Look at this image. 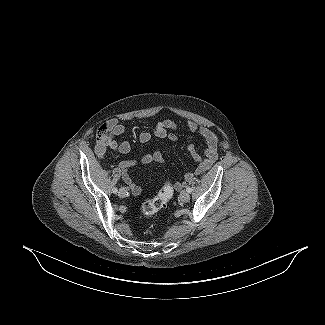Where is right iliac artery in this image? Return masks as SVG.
I'll return each instance as SVG.
<instances>
[{
    "label": "right iliac artery",
    "mask_w": 325,
    "mask_h": 325,
    "mask_svg": "<svg viewBox=\"0 0 325 325\" xmlns=\"http://www.w3.org/2000/svg\"><path fill=\"white\" fill-rule=\"evenodd\" d=\"M113 193L117 194L118 193V189L117 188H113Z\"/></svg>",
    "instance_id": "right-iliac-artery-1"
}]
</instances>
